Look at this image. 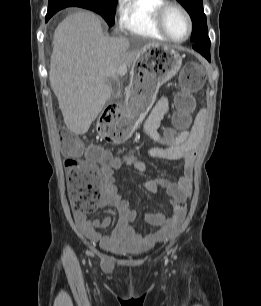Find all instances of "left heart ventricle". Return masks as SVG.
I'll return each instance as SVG.
<instances>
[{"label": "left heart ventricle", "instance_id": "left-heart-ventricle-1", "mask_svg": "<svg viewBox=\"0 0 261 306\" xmlns=\"http://www.w3.org/2000/svg\"><path fill=\"white\" fill-rule=\"evenodd\" d=\"M165 26L174 39H183L187 34V22L183 14L174 8L167 11L164 18Z\"/></svg>", "mask_w": 261, "mask_h": 306}]
</instances>
